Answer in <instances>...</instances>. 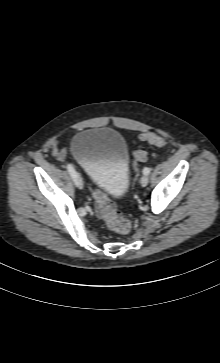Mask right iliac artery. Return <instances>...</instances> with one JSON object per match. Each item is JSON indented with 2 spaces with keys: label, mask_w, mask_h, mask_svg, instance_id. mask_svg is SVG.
Returning a JSON list of instances; mask_svg holds the SVG:
<instances>
[{
  "label": "right iliac artery",
  "mask_w": 220,
  "mask_h": 363,
  "mask_svg": "<svg viewBox=\"0 0 220 363\" xmlns=\"http://www.w3.org/2000/svg\"><path fill=\"white\" fill-rule=\"evenodd\" d=\"M67 170H68L69 174L71 175L72 179L76 182V171H75L74 167L72 165L68 164Z\"/></svg>",
  "instance_id": "82829eb1"
}]
</instances>
